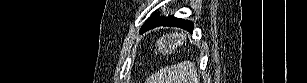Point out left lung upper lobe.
I'll return each instance as SVG.
<instances>
[{
  "mask_svg": "<svg viewBox=\"0 0 307 83\" xmlns=\"http://www.w3.org/2000/svg\"><path fill=\"white\" fill-rule=\"evenodd\" d=\"M164 18H165L164 16L163 17H156V15L153 13L151 15V17L146 21V23L142 27L149 25V24H152V23H156V22H158V21H160Z\"/></svg>",
  "mask_w": 307,
  "mask_h": 83,
  "instance_id": "5c2ea615",
  "label": "left lung upper lobe"
}]
</instances>
